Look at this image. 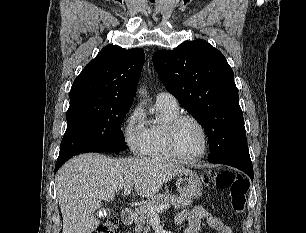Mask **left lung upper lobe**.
Segmentation results:
<instances>
[{"instance_id":"left-lung-upper-lobe-1","label":"left lung upper lobe","mask_w":306,"mask_h":233,"mask_svg":"<svg viewBox=\"0 0 306 233\" xmlns=\"http://www.w3.org/2000/svg\"><path fill=\"white\" fill-rule=\"evenodd\" d=\"M153 64L166 89L204 127L208 160L249 153L234 74L219 50L197 39L157 51Z\"/></svg>"}]
</instances>
